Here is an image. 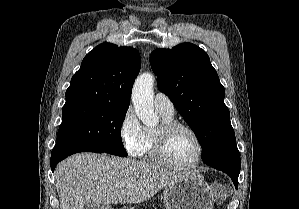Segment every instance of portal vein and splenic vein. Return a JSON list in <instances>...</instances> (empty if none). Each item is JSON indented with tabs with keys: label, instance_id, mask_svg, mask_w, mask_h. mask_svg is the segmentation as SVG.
Returning a JSON list of instances; mask_svg holds the SVG:
<instances>
[{
	"label": "portal vein and splenic vein",
	"instance_id": "18ae733b",
	"mask_svg": "<svg viewBox=\"0 0 299 209\" xmlns=\"http://www.w3.org/2000/svg\"><path fill=\"white\" fill-rule=\"evenodd\" d=\"M124 186H125V184H124V183H122V184H120V186H119V187H120V188H122V187H124Z\"/></svg>",
	"mask_w": 299,
	"mask_h": 209
}]
</instances>
